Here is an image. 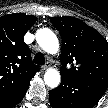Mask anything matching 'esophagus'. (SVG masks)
Here are the masks:
<instances>
[{
    "instance_id": "1",
    "label": "esophagus",
    "mask_w": 108,
    "mask_h": 108,
    "mask_svg": "<svg viewBox=\"0 0 108 108\" xmlns=\"http://www.w3.org/2000/svg\"><path fill=\"white\" fill-rule=\"evenodd\" d=\"M49 62H47L45 65H42L41 66V69L44 71V70H47L48 69V67H49Z\"/></svg>"
}]
</instances>
